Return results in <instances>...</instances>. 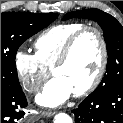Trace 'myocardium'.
Here are the masks:
<instances>
[{
	"mask_svg": "<svg viewBox=\"0 0 123 123\" xmlns=\"http://www.w3.org/2000/svg\"><path fill=\"white\" fill-rule=\"evenodd\" d=\"M89 32L95 33L99 40L101 58H100V63L98 65V69L95 75L93 76V78L91 79V81L81 90L74 92V94L79 97L85 96L89 94L90 92H92L100 84L104 76L107 63H108V48H107V42L103 32L96 26H84L82 29L74 33L67 40V42L65 43L63 47L60 57L58 58L54 66L52 67V73L55 74V71L58 68L65 65L69 61L71 54L73 52V49L75 45L77 44V42L79 41V39Z\"/></svg>",
	"mask_w": 123,
	"mask_h": 123,
	"instance_id": "1",
	"label": "myocardium"
}]
</instances>
